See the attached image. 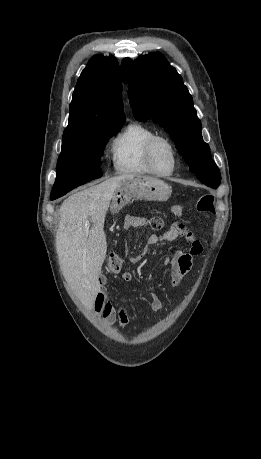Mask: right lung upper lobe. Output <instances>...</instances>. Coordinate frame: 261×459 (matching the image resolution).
<instances>
[{
  "label": "right lung upper lobe",
  "mask_w": 261,
  "mask_h": 459,
  "mask_svg": "<svg viewBox=\"0 0 261 459\" xmlns=\"http://www.w3.org/2000/svg\"><path fill=\"white\" fill-rule=\"evenodd\" d=\"M63 139L89 128L124 123L119 65L112 56L96 55L81 73L70 104Z\"/></svg>",
  "instance_id": "right-lung-upper-lobe-1"
}]
</instances>
